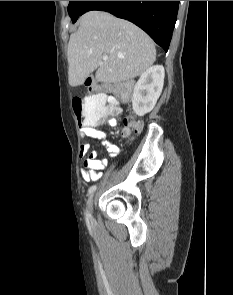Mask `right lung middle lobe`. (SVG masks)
<instances>
[{
	"instance_id": "obj_1",
	"label": "right lung middle lobe",
	"mask_w": 233,
	"mask_h": 295,
	"mask_svg": "<svg viewBox=\"0 0 233 295\" xmlns=\"http://www.w3.org/2000/svg\"><path fill=\"white\" fill-rule=\"evenodd\" d=\"M85 3L86 1H70L69 2L68 13L73 23H75L78 17L81 15V11Z\"/></svg>"
}]
</instances>
